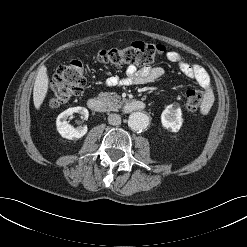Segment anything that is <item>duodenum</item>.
<instances>
[{"mask_svg":"<svg viewBox=\"0 0 247 247\" xmlns=\"http://www.w3.org/2000/svg\"><path fill=\"white\" fill-rule=\"evenodd\" d=\"M88 106L90 109L105 113L110 110L109 104L102 98L99 97H91L88 100ZM145 108L144 102L138 99H131L125 103L124 111L127 113L135 112V111H142Z\"/></svg>","mask_w":247,"mask_h":247,"instance_id":"410a0bca","label":"duodenum"}]
</instances>
